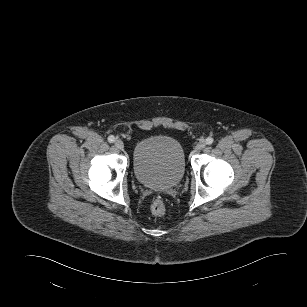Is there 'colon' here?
<instances>
[{
	"instance_id": "5ec220e1",
	"label": "colon",
	"mask_w": 307,
	"mask_h": 307,
	"mask_svg": "<svg viewBox=\"0 0 307 307\" xmlns=\"http://www.w3.org/2000/svg\"><path fill=\"white\" fill-rule=\"evenodd\" d=\"M165 204L161 199H155L151 204V212L155 216H161L165 213Z\"/></svg>"
}]
</instances>
